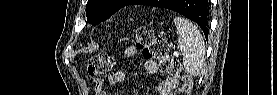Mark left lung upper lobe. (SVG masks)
<instances>
[{"label":"left lung upper lobe","instance_id":"obj_1","mask_svg":"<svg viewBox=\"0 0 277 95\" xmlns=\"http://www.w3.org/2000/svg\"><path fill=\"white\" fill-rule=\"evenodd\" d=\"M134 0H88L86 16L89 23L94 26L105 21L124 6L130 5ZM177 0H161L157 7L173 6Z\"/></svg>","mask_w":277,"mask_h":95}]
</instances>
